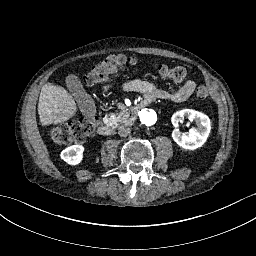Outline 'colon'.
Instances as JSON below:
<instances>
[{
	"mask_svg": "<svg viewBox=\"0 0 256 256\" xmlns=\"http://www.w3.org/2000/svg\"><path fill=\"white\" fill-rule=\"evenodd\" d=\"M136 64L133 57L122 55L108 56L95 64L86 75V83L95 86L107 81L112 75ZM158 72L163 78L180 81L188 76L187 70L183 67L170 68L165 65L157 67ZM199 100H209L210 94L204 86H198L195 90ZM96 123L93 119L83 118L69 124L51 126L50 137L59 143L71 144L83 142L94 131Z\"/></svg>",
	"mask_w": 256,
	"mask_h": 256,
	"instance_id": "5ec220e1",
	"label": "colon"
}]
</instances>
